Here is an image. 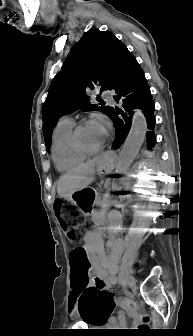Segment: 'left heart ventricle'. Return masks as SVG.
Instances as JSON below:
<instances>
[{
    "label": "left heart ventricle",
    "mask_w": 193,
    "mask_h": 336,
    "mask_svg": "<svg viewBox=\"0 0 193 336\" xmlns=\"http://www.w3.org/2000/svg\"><path fill=\"white\" fill-rule=\"evenodd\" d=\"M80 141L89 148L97 147L104 140L98 131L91 127L90 124L86 125L79 133Z\"/></svg>",
    "instance_id": "left-heart-ventricle-1"
}]
</instances>
